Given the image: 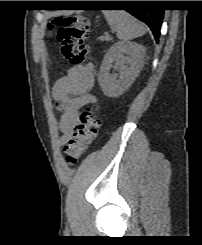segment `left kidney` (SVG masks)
<instances>
[{
	"label": "left kidney",
	"instance_id": "5707ae66",
	"mask_svg": "<svg viewBox=\"0 0 202 245\" xmlns=\"http://www.w3.org/2000/svg\"><path fill=\"white\" fill-rule=\"evenodd\" d=\"M127 55V56H125ZM146 48L135 42H117L105 55L99 72V84L104 95L118 97L129 89L144 64ZM112 62L120 73L118 78L111 76L109 70ZM129 66H126L125 63Z\"/></svg>",
	"mask_w": 202,
	"mask_h": 245
}]
</instances>
